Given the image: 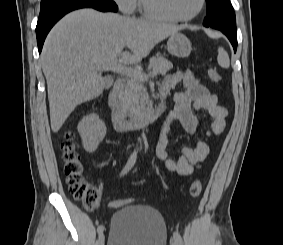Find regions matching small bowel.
<instances>
[{
  "label": "small bowel",
  "instance_id": "small-bowel-1",
  "mask_svg": "<svg viewBox=\"0 0 283 245\" xmlns=\"http://www.w3.org/2000/svg\"><path fill=\"white\" fill-rule=\"evenodd\" d=\"M179 85L184 90H177ZM161 95L171 97L174 108L167 116L157 142L156 155L165 167L178 175H190L201 168L209 154V142L222 134L226 127L228 111L219 105L218 97L201 84L189 70H180L167 75L163 81ZM180 123L186 132L194 135V146L173 147L170 130ZM206 129L202 137L197 136L201 126ZM176 157L173 158L170 152Z\"/></svg>",
  "mask_w": 283,
  "mask_h": 245
}]
</instances>
